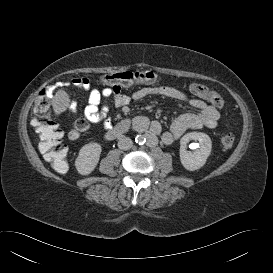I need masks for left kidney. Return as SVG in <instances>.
Returning a JSON list of instances; mask_svg holds the SVG:
<instances>
[{"label":"left kidney","instance_id":"5707ae66","mask_svg":"<svg viewBox=\"0 0 273 273\" xmlns=\"http://www.w3.org/2000/svg\"><path fill=\"white\" fill-rule=\"evenodd\" d=\"M190 140L199 141L198 149L187 151V144ZM212 149L210 137L201 132H190L185 134L180 140V160L183 167L189 171L200 169L206 163Z\"/></svg>","mask_w":273,"mask_h":273}]
</instances>
